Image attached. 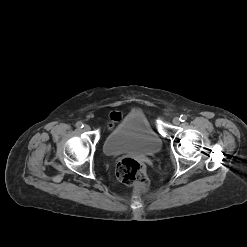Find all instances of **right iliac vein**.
<instances>
[{"label": "right iliac vein", "mask_w": 247, "mask_h": 247, "mask_svg": "<svg viewBox=\"0 0 247 247\" xmlns=\"http://www.w3.org/2000/svg\"><path fill=\"white\" fill-rule=\"evenodd\" d=\"M84 130L85 131H89L90 130V126L89 125H84Z\"/></svg>", "instance_id": "1"}]
</instances>
